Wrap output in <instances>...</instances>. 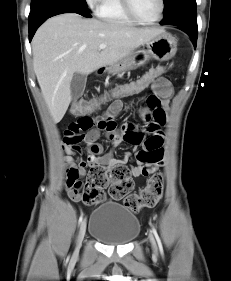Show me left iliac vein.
<instances>
[{"mask_svg":"<svg viewBox=\"0 0 231 281\" xmlns=\"http://www.w3.org/2000/svg\"><path fill=\"white\" fill-rule=\"evenodd\" d=\"M149 240H150V243H151L153 251L157 252L156 242H155L154 237H153L152 234H149Z\"/></svg>","mask_w":231,"mask_h":281,"instance_id":"1","label":"left iliac vein"}]
</instances>
